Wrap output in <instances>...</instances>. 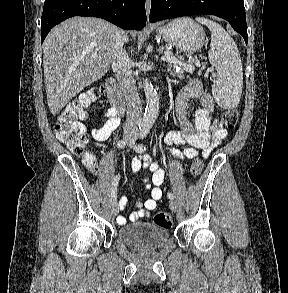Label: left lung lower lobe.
<instances>
[{"label":"left lung lower lobe","mask_w":288,"mask_h":293,"mask_svg":"<svg viewBox=\"0 0 288 293\" xmlns=\"http://www.w3.org/2000/svg\"><path fill=\"white\" fill-rule=\"evenodd\" d=\"M188 15L224 18L248 42L243 0H151L150 22Z\"/></svg>","instance_id":"0a47b994"}]
</instances>
